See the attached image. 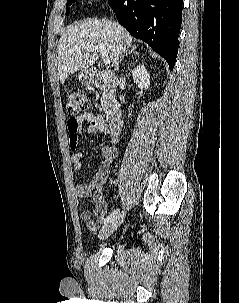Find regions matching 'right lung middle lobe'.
Returning <instances> with one entry per match:
<instances>
[{
	"label": "right lung middle lobe",
	"instance_id": "right-lung-middle-lobe-1",
	"mask_svg": "<svg viewBox=\"0 0 239 303\" xmlns=\"http://www.w3.org/2000/svg\"><path fill=\"white\" fill-rule=\"evenodd\" d=\"M76 0H67V7H66V15L69 14V5H71L73 2H75Z\"/></svg>",
	"mask_w": 239,
	"mask_h": 303
}]
</instances>
